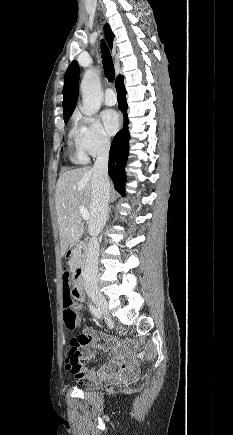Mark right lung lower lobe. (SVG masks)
Wrapping results in <instances>:
<instances>
[{"instance_id":"obj_1","label":"right lung lower lobe","mask_w":233,"mask_h":435,"mask_svg":"<svg viewBox=\"0 0 233 435\" xmlns=\"http://www.w3.org/2000/svg\"><path fill=\"white\" fill-rule=\"evenodd\" d=\"M115 86L118 94V105L124 114V127L116 134L112 141L109 152L108 173L114 183L115 189L124 196L126 181L125 166L128 158L130 135L128 131L129 121L127 117L128 106L125 98L126 90L122 76L117 77Z\"/></svg>"}]
</instances>
